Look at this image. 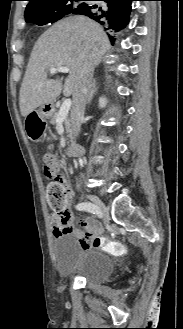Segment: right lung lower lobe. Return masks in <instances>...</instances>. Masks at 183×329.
Wrapping results in <instances>:
<instances>
[{
  "label": "right lung lower lobe",
  "instance_id": "1",
  "mask_svg": "<svg viewBox=\"0 0 183 329\" xmlns=\"http://www.w3.org/2000/svg\"><path fill=\"white\" fill-rule=\"evenodd\" d=\"M84 1H103L101 5L82 2V6L74 10L73 14L85 15L105 27L110 34L123 29L129 21L131 12V3L134 0H84ZM111 40L115 38L110 36Z\"/></svg>",
  "mask_w": 183,
  "mask_h": 329
}]
</instances>
